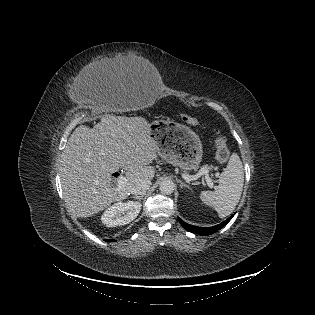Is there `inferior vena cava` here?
<instances>
[{"label": "inferior vena cava", "instance_id": "inferior-vena-cava-1", "mask_svg": "<svg viewBox=\"0 0 315 315\" xmlns=\"http://www.w3.org/2000/svg\"><path fill=\"white\" fill-rule=\"evenodd\" d=\"M151 186V181L149 179H143L141 181H138L135 183L131 188V194L138 196V195H144L146 191Z\"/></svg>", "mask_w": 315, "mask_h": 315}]
</instances>
